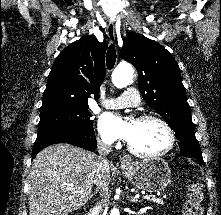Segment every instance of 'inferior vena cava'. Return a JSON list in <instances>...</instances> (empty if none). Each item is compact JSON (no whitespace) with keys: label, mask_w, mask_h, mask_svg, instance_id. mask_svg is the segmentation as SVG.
Returning a JSON list of instances; mask_svg holds the SVG:
<instances>
[{"label":"inferior vena cava","mask_w":221,"mask_h":215,"mask_svg":"<svg viewBox=\"0 0 221 215\" xmlns=\"http://www.w3.org/2000/svg\"><path fill=\"white\" fill-rule=\"evenodd\" d=\"M111 145L105 144L101 141H98L97 152H98V166L96 171V177L94 184L97 186V190L100 191V196H102L101 202L97 203L98 210H101L102 203L107 200L108 190H109V180H108V161L105 159L111 152Z\"/></svg>","instance_id":"602c4592"}]
</instances>
